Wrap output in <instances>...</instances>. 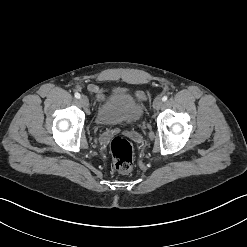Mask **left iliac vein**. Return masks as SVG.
<instances>
[{
    "label": "left iliac vein",
    "mask_w": 247,
    "mask_h": 247,
    "mask_svg": "<svg viewBox=\"0 0 247 247\" xmlns=\"http://www.w3.org/2000/svg\"><path fill=\"white\" fill-rule=\"evenodd\" d=\"M163 105V100L160 97H157L153 102L154 109H160Z\"/></svg>",
    "instance_id": "left-iliac-vein-1"
}]
</instances>
